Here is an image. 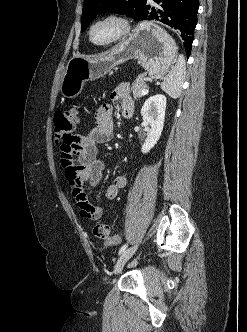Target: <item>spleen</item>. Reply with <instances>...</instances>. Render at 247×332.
I'll return each mask as SVG.
<instances>
[{
    "instance_id": "spleen-1",
    "label": "spleen",
    "mask_w": 247,
    "mask_h": 332,
    "mask_svg": "<svg viewBox=\"0 0 247 332\" xmlns=\"http://www.w3.org/2000/svg\"><path fill=\"white\" fill-rule=\"evenodd\" d=\"M186 63L183 55H179L175 66L161 83V89L176 99L181 95L182 83L185 79Z\"/></svg>"
}]
</instances>
